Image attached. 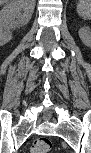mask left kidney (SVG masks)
I'll return each mask as SVG.
<instances>
[{
    "instance_id": "obj_1",
    "label": "left kidney",
    "mask_w": 91,
    "mask_h": 153,
    "mask_svg": "<svg viewBox=\"0 0 91 153\" xmlns=\"http://www.w3.org/2000/svg\"><path fill=\"white\" fill-rule=\"evenodd\" d=\"M79 37L86 46L91 45V31L88 26L79 29Z\"/></svg>"
}]
</instances>
